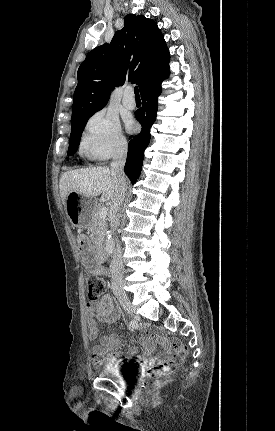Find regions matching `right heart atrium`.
<instances>
[{"label": "right heart atrium", "instance_id": "right-heart-atrium-1", "mask_svg": "<svg viewBox=\"0 0 275 431\" xmlns=\"http://www.w3.org/2000/svg\"><path fill=\"white\" fill-rule=\"evenodd\" d=\"M80 149L84 155L95 161H104L124 153L127 140L118 117L106 109L94 113L83 130Z\"/></svg>", "mask_w": 275, "mask_h": 431}]
</instances>
